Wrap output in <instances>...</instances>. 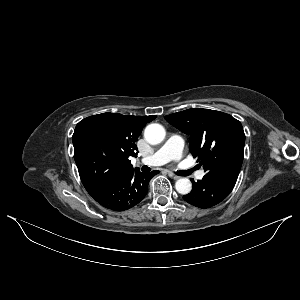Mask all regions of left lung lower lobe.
<instances>
[{
	"label": "left lung lower lobe",
	"mask_w": 300,
	"mask_h": 300,
	"mask_svg": "<svg viewBox=\"0 0 300 300\" xmlns=\"http://www.w3.org/2000/svg\"><path fill=\"white\" fill-rule=\"evenodd\" d=\"M193 183L192 191L183 196L189 204L199 208H210L224 200L232 191V187L219 181L205 178Z\"/></svg>",
	"instance_id": "obj_1"
}]
</instances>
